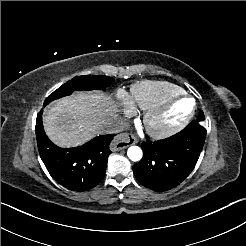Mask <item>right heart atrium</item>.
<instances>
[{
	"label": "right heart atrium",
	"instance_id": "d8ad5b80",
	"mask_svg": "<svg viewBox=\"0 0 246 246\" xmlns=\"http://www.w3.org/2000/svg\"><path fill=\"white\" fill-rule=\"evenodd\" d=\"M117 98L123 101L127 102V107L130 108V98L128 95L124 94V93H118L117 94Z\"/></svg>",
	"mask_w": 246,
	"mask_h": 246
}]
</instances>
